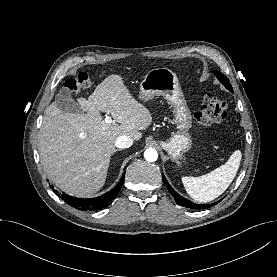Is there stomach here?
<instances>
[{
    "label": "stomach",
    "mask_w": 277,
    "mask_h": 277,
    "mask_svg": "<svg viewBox=\"0 0 277 277\" xmlns=\"http://www.w3.org/2000/svg\"><path fill=\"white\" fill-rule=\"evenodd\" d=\"M155 95L163 96L173 107L174 122L179 130L172 134L167 141H161L160 144L170 158L177 161L191 148L192 139L189 130L192 128L193 120L179 80L170 69H152L141 81L140 99L147 101Z\"/></svg>",
    "instance_id": "0dacf381"
}]
</instances>
